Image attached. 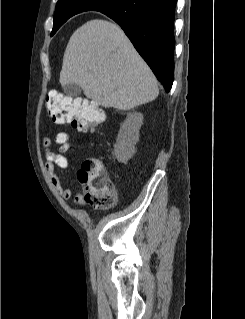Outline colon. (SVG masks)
I'll return each instance as SVG.
<instances>
[{"mask_svg":"<svg viewBox=\"0 0 245 319\" xmlns=\"http://www.w3.org/2000/svg\"><path fill=\"white\" fill-rule=\"evenodd\" d=\"M47 109L54 121L70 123L80 132L89 131L104 121V113L95 104L79 98L50 92ZM85 200L96 208H110L116 202L115 184L107 177L102 162L97 158H87L78 172Z\"/></svg>","mask_w":245,"mask_h":319,"instance_id":"obj_1","label":"colon"}]
</instances>
